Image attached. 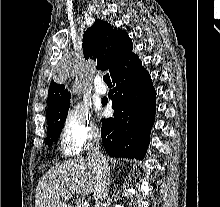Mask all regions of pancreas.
Here are the masks:
<instances>
[{
	"instance_id": "obj_1",
	"label": "pancreas",
	"mask_w": 220,
	"mask_h": 207,
	"mask_svg": "<svg viewBox=\"0 0 220 207\" xmlns=\"http://www.w3.org/2000/svg\"><path fill=\"white\" fill-rule=\"evenodd\" d=\"M76 207H79V204L77 203Z\"/></svg>"
}]
</instances>
